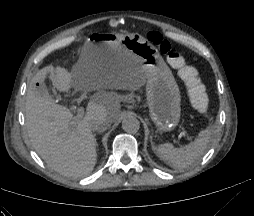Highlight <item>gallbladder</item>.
<instances>
[{
    "mask_svg": "<svg viewBox=\"0 0 254 216\" xmlns=\"http://www.w3.org/2000/svg\"><path fill=\"white\" fill-rule=\"evenodd\" d=\"M37 91L39 92L40 95H48V89L46 88V86L44 84H40V87L37 89Z\"/></svg>",
    "mask_w": 254,
    "mask_h": 216,
    "instance_id": "gallbladder-1",
    "label": "gallbladder"
}]
</instances>
